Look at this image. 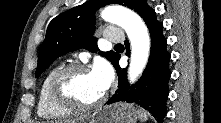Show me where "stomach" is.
Instances as JSON below:
<instances>
[{"mask_svg": "<svg viewBox=\"0 0 221 123\" xmlns=\"http://www.w3.org/2000/svg\"><path fill=\"white\" fill-rule=\"evenodd\" d=\"M137 111L127 103H115L98 108L91 114H85L75 123H136Z\"/></svg>", "mask_w": 221, "mask_h": 123, "instance_id": "stomach-1", "label": "stomach"}]
</instances>
